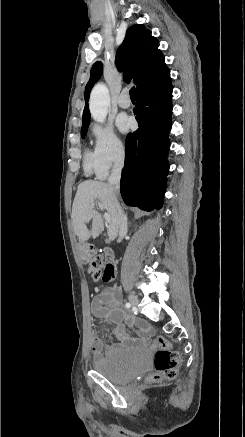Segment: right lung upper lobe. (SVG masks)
I'll list each match as a JSON object with an SVG mask.
<instances>
[{
  "label": "right lung upper lobe",
  "instance_id": "cb5924a9",
  "mask_svg": "<svg viewBox=\"0 0 245 437\" xmlns=\"http://www.w3.org/2000/svg\"><path fill=\"white\" fill-rule=\"evenodd\" d=\"M159 40L151 35L144 25L135 24L128 28L123 43L116 53V65L124 71L126 82L133 80L137 85L136 93L171 81L165 58L158 49ZM102 74V63L95 62L91 68L90 79L85 87L86 105L83 110L82 127L89 125L90 112L88 101L93 85Z\"/></svg>",
  "mask_w": 245,
  "mask_h": 437
}]
</instances>
